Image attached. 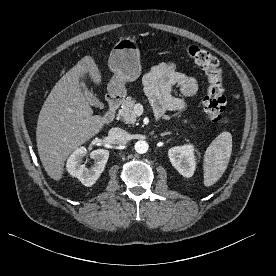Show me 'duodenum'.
I'll list each match as a JSON object with an SVG mask.
<instances>
[{"label":"duodenum","instance_id":"410a0bca","mask_svg":"<svg viewBox=\"0 0 276 276\" xmlns=\"http://www.w3.org/2000/svg\"><path fill=\"white\" fill-rule=\"evenodd\" d=\"M123 101L122 95L110 94L107 98L108 107L104 114V122L110 124L114 121L116 116V111Z\"/></svg>","mask_w":276,"mask_h":276}]
</instances>
